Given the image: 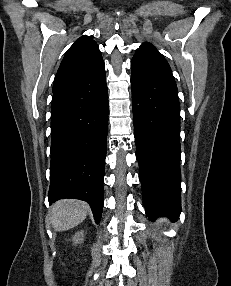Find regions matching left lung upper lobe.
Instances as JSON below:
<instances>
[{
    "mask_svg": "<svg viewBox=\"0 0 231 286\" xmlns=\"http://www.w3.org/2000/svg\"><path fill=\"white\" fill-rule=\"evenodd\" d=\"M133 59L171 70L169 64L167 63L163 55L153 45L149 43H144L143 45H141L137 49Z\"/></svg>",
    "mask_w": 231,
    "mask_h": 286,
    "instance_id": "left-lung-upper-lobe-1",
    "label": "left lung upper lobe"
}]
</instances>
